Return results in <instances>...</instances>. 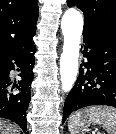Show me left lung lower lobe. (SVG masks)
<instances>
[{
    "mask_svg": "<svg viewBox=\"0 0 116 134\" xmlns=\"http://www.w3.org/2000/svg\"><path fill=\"white\" fill-rule=\"evenodd\" d=\"M83 43L86 62L66 98L62 123L72 112L87 106L116 107V36L83 31Z\"/></svg>",
    "mask_w": 116,
    "mask_h": 134,
    "instance_id": "0a47b994",
    "label": "left lung lower lobe"
}]
</instances>
